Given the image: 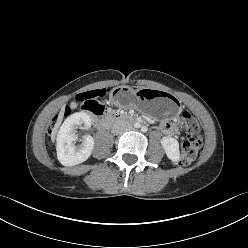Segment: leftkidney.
<instances>
[{"instance_id": "5707ae66", "label": "left kidney", "mask_w": 248, "mask_h": 248, "mask_svg": "<svg viewBox=\"0 0 248 248\" xmlns=\"http://www.w3.org/2000/svg\"><path fill=\"white\" fill-rule=\"evenodd\" d=\"M161 145L169 159L172 161H178L180 159L179 143L175 138L163 137L161 139Z\"/></svg>"}]
</instances>
